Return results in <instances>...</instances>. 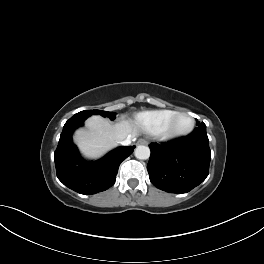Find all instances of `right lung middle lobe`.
<instances>
[{
	"instance_id": "dd1d6c3e",
	"label": "right lung middle lobe",
	"mask_w": 264,
	"mask_h": 264,
	"mask_svg": "<svg viewBox=\"0 0 264 264\" xmlns=\"http://www.w3.org/2000/svg\"><path fill=\"white\" fill-rule=\"evenodd\" d=\"M99 114L103 117H108L111 120L115 119V113L114 112H107V111H102V110H84L79 113H76L74 116L76 117H89L91 115Z\"/></svg>"
}]
</instances>
